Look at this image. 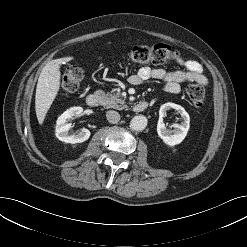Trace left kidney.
Wrapping results in <instances>:
<instances>
[{
    "label": "left kidney",
    "instance_id": "1",
    "mask_svg": "<svg viewBox=\"0 0 247 247\" xmlns=\"http://www.w3.org/2000/svg\"><path fill=\"white\" fill-rule=\"evenodd\" d=\"M170 109H175L182 117L181 124L174 125V130L167 129L163 122V117L166 116L167 111ZM189 127L190 117L182 106L174 103H165L160 107L159 121L157 124V133L165 144L169 146H175L177 144H180L185 139Z\"/></svg>",
    "mask_w": 247,
    "mask_h": 247
}]
</instances>
